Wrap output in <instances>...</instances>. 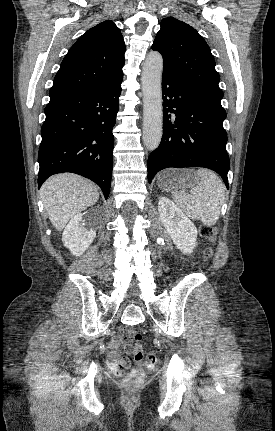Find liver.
I'll return each instance as SVG.
<instances>
[{
    "label": "liver",
    "mask_w": 275,
    "mask_h": 431,
    "mask_svg": "<svg viewBox=\"0 0 275 431\" xmlns=\"http://www.w3.org/2000/svg\"><path fill=\"white\" fill-rule=\"evenodd\" d=\"M41 197L49 220L56 230L61 231L72 217L98 201L99 192L89 180L63 173L44 182Z\"/></svg>",
    "instance_id": "1"
}]
</instances>
